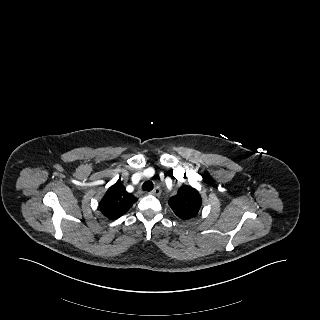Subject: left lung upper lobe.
Segmentation results:
<instances>
[{
    "instance_id": "left-lung-upper-lobe-1",
    "label": "left lung upper lobe",
    "mask_w": 320,
    "mask_h": 320,
    "mask_svg": "<svg viewBox=\"0 0 320 320\" xmlns=\"http://www.w3.org/2000/svg\"><path fill=\"white\" fill-rule=\"evenodd\" d=\"M168 203L179 218L187 220L197 215L202 199L196 189L183 185L178 190V193L170 198Z\"/></svg>"
}]
</instances>
